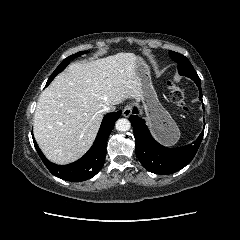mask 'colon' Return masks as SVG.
I'll list each match as a JSON object with an SVG mask.
<instances>
[{
    "label": "colon",
    "instance_id": "colon-1",
    "mask_svg": "<svg viewBox=\"0 0 240 240\" xmlns=\"http://www.w3.org/2000/svg\"><path fill=\"white\" fill-rule=\"evenodd\" d=\"M168 88L170 91V99L173 103H175L179 108H181L185 112L190 111V107L187 105L185 101V94L183 90L173 82H168Z\"/></svg>",
    "mask_w": 240,
    "mask_h": 240
}]
</instances>
